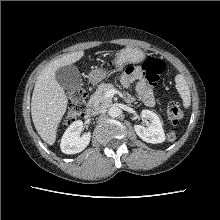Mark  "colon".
Instances as JSON below:
<instances>
[{"instance_id": "colon-1", "label": "colon", "mask_w": 220, "mask_h": 220, "mask_svg": "<svg viewBox=\"0 0 220 220\" xmlns=\"http://www.w3.org/2000/svg\"><path fill=\"white\" fill-rule=\"evenodd\" d=\"M143 70L149 84H155L162 72L164 71V64L161 60L157 58L150 57L146 59L143 64ZM70 100V109L67 114V121H74L82 116H84L87 110V94L82 87H78L70 92L69 94ZM167 117L168 120L176 124L183 118V112L180 107L172 103L167 108ZM167 142L172 143L176 139V133L174 130H170L166 136Z\"/></svg>"}]
</instances>
